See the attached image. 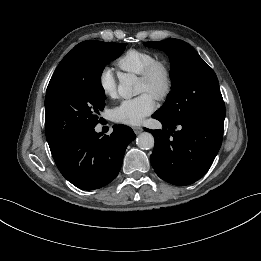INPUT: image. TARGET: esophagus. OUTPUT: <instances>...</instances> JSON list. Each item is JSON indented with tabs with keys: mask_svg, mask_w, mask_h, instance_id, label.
<instances>
[{
	"mask_svg": "<svg viewBox=\"0 0 261 261\" xmlns=\"http://www.w3.org/2000/svg\"><path fill=\"white\" fill-rule=\"evenodd\" d=\"M133 130H134L135 134H140L143 131V128L136 126V127H133Z\"/></svg>",
	"mask_w": 261,
	"mask_h": 261,
	"instance_id": "obj_1",
	"label": "esophagus"
}]
</instances>
